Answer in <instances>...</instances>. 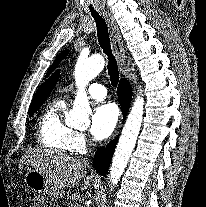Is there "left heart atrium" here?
<instances>
[{"label":"left heart atrium","mask_w":206,"mask_h":207,"mask_svg":"<svg viewBox=\"0 0 206 207\" xmlns=\"http://www.w3.org/2000/svg\"><path fill=\"white\" fill-rule=\"evenodd\" d=\"M119 112L114 103H104L92 115L91 134L97 140L107 138L115 129Z\"/></svg>","instance_id":"obj_1"}]
</instances>
